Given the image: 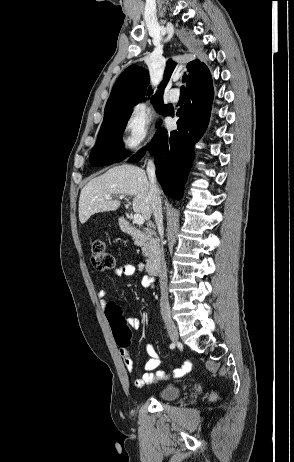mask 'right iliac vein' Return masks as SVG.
<instances>
[{"label": "right iliac vein", "instance_id": "obj_1", "mask_svg": "<svg viewBox=\"0 0 294 462\" xmlns=\"http://www.w3.org/2000/svg\"><path fill=\"white\" fill-rule=\"evenodd\" d=\"M164 323H165V326H166V329L168 331L170 338L172 339L173 342L177 343L178 342V329L175 323L169 316L164 317Z\"/></svg>", "mask_w": 294, "mask_h": 462}]
</instances>
